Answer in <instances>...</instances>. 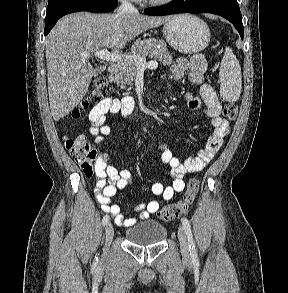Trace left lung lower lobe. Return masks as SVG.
Returning <instances> with one entry per match:
<instances>
[{
    "label": "left lung lower lobe",
    "instance_id": "0a47b994",
    "mask_svg": "<svg viewBox=\"0 0 288 293\" xmlns=\"http://www.w3.org/2000/svg\"><path fill=\"white\" fill-rule=\"evenodd\" d=\"M148 15L162 16L178 13H212L229 20L243 39L242 15L237 1L232 0H173L154 8H147Z\"/></svg>",
    "mask_w": 288,
    "mask_h": 293
}]
</instances>
